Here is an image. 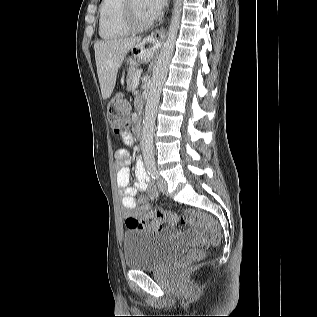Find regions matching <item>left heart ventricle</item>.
<instances>
[{"label": "left heart ventricle", "mask_w": 317, "mask_h": 317, "mask_svg": "<svg viewBox=\"0 0 317 317\" xmlns=\"http://www.w3.org/2000/svg\"><path fill=\"white\" fill-rule=\"evenodd\" d=\"M132 6L135 17L139 22H146L151 19L148 11L145 8L144 0H132Z\"/></svg>", "instance_id": "b2bd125f"}]
</instances>
